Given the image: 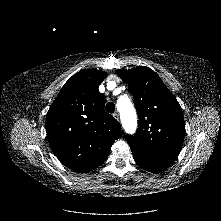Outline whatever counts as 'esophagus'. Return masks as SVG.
<instances>
[{
    "label": "esophagus",
    "instance_id": "obj_1",
    "mask_svg": "<svg viewBox=\"0 0 221 221\" xmlns=\"http://www.w3.org/2000/svg\"><path fill=\"white\" fill-rule=\"evenodd\" d=\"M113 117L116 119V120H119V115L117 113H114L113 114Z\"/></svg>",
    "mask_w": 221,
    "mask_h": 221
}]
</instances>
